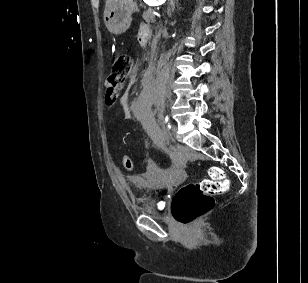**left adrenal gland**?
Here are the masks:
<instances>
[{
	"label": "left adrenal gland",
	"instance_id": "1",
	"mask_svg": "<svg viewBox=\"0 0 308 283\" xmlns=\"http://www.w3.org/2000/svg\"><path fill=\"white\" fill-rule=\"evenodd\" d=\"M175 0H170V2H169V8H168V14H169V16L171 15L170 14V6L172 7V8H175Z\"/></svg>",
	"mask_w": 308,
	"mask_h": 283
}]
</instances>
